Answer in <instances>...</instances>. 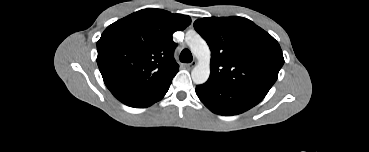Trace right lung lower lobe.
<instances>
[{
	"label": "right lung lower lobe",
	"instance_id": "right-lung-lower-lobe-1",
	"mask_svg": "<svg viewBox=\"0 0 369 152\" xmlns=\"http://www.w3.org/2000/svg\"><path fill=\"white\" fill-rule=\"evenodd\" d=\"M170 84H171V82L168 83L161 91H159L155 94L149 95L145 98L139 99V100L131 102V103H127L126 105L131 106V107H135V108L148 107V106L154 104L155 102L161 100L164 97V95L166 94V92L169 89Z\"/></svg>",
	"mask_w": 369,
	"mask_h": 152
}]
</instances>
